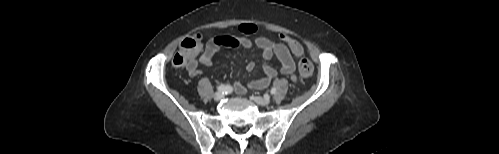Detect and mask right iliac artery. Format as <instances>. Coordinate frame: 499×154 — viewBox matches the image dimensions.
Listing matches in <instances>:
<instances>
[{
  "instance_id": "1",
  "label": "right iliac artery",
  "mask_w": 499,
  "mask_h": 154,
  "mask_svg": "<svg viewBox=\"0 0 499 154\" xmlns=\"http://www.w3.org/2000/svg\"><path fill=\"white\" fill-rule=\"evenodd\" d=\"M217 90L220 91L223 94L224 93L225 94H229V93H231L233 91V88L230 85H223V84H221V85H219L217 87Z\"/></svg>"
}]
</instances>
